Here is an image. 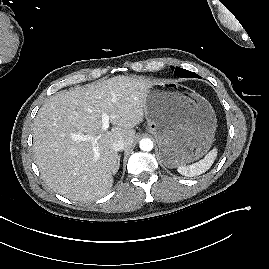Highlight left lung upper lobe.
Segmentation results:
<instances>
[{
  "label": "left lung upper lobe",
  "mask_w": 269,
  "mask_h": 269,
  "mask_svg": "<svg viewBox=\"0 0 269 269\" xmlns=\"http://www.w3.org/2000/svg\"><path fill=\"white\" fill-rule=\"evenodd\" d=\"M172 70H175L174 74L177 77H181V78H186V77L200 78V76L197 75L196 73L188 71V70H185V69H182L180 67H176V68L172 67Z\"/></svg>",
  "instance_id": "obj_1"
}]
</instances>
